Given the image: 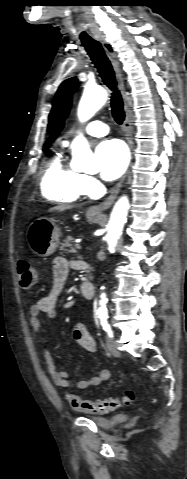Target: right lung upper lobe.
Segmentation results:
<instances>
[{
  "instance_id": "1",
  "label": "right lung upper lobe",
  "mask_w": 187,
  "mask_h": 479,
  "mask_svg": "<svg viewBox=\"0 0 187 479\" xmlns=\"http://www.w3.org/2000/svg\"><path fill=\"white\" fill-rule=\"evenodd\" d=\"M63 125H64V123H63V121H62V122L60 123V125H59L57 131H56V132L51 136V138L46 142L44 149H47V147L49 146L50 142H52V141L57 137V135H58L59 131L62 129Z\"/></svg>"
}]
</instances>
